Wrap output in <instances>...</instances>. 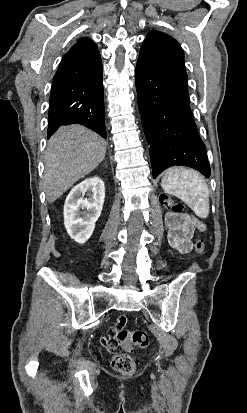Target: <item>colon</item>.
Wrapping results in <instances>:
<instances>
[{
	"instance_id": "5ec220e1",
	"label": "colon",
	"mask_w": 247,
	"mask_h": 413,
	"mask_svg": "<svg viewBox=\"0 0 247 413\" xmlns=\"http://www.w3.org/2000/svg\"><path fill=\"white\" fill-rule=\"evenodd\" d=\"M161 203L168 210H173V214L175 216L184 217L186 215V210L184 209L183 204L172 199L171 197L163 196L161 198ZM193 247L198 253L202 255L206 252L204 240L199 233H197L195 236ZM116 340L124 345L125 353H118L117 357H111V365L116 371L120 373L130 374L135 371L136 363L134 359L128 354L130 353V350L133 349V346L134 348L138 347L139 351H147L149 344L148 333L142 330L132 331L130 329L129 332L118 333L116 335Z\"/></svg>"
}]
</instances>
